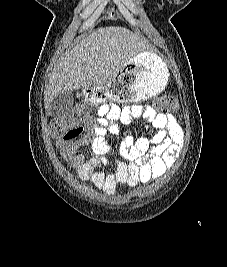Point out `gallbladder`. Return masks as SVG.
<instances>
[{"instance_id": "bac80fb5", "label": "gallbladder", "mask_w": 227, "mask_h": 267, "mask_svg": "<svg viewBox=\"0 0 227 267\" xmlns=\"http://www.w3.org/2000/svg\"><path fill=\"white\" fill-rule=\"evenodd\" d=\"M74 99L71 91H65L57 95L49 105L51 116L57 117L68 111L73 105Z\"/></svg>"}]
</instances>
